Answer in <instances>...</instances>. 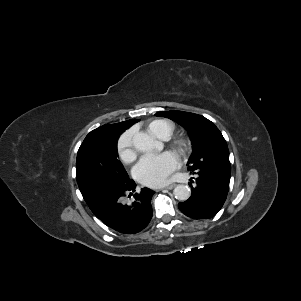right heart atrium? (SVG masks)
Instances as JSON below:
<instances>
[{
    "label": "right heart atrium",
    "instance_id": "1",
    "mask_svg": "<svg viewBox=\"0 0 301 301\" xmlns=\"http://www.w3.org/2000/svg\"><path fill=\"white\" fill-rule=\"evenodd\" d=\"M117 151L120 159L126 164H130L136 159L137 152L133 143L132 130H127L120 135L117 141Z\"/></svg>",
    "mask_w": 301,
    "mask_h": 301
}]
</instances>
